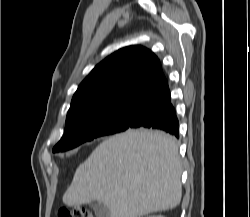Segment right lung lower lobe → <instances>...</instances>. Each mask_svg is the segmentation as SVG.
<instances>
[{"instance_id":"right-lung-lower-lobe-1","label":"right lung lower lobe","mask_w":250,"mask_h":217,"mask_svg":"<svg viewBox=\"0 0 250 217\" xmlns=\"http://www.w3.org/2000/svg\"><path fill=\"white\" fill-rule=\"evenodd\" d=\"M179 122L170 101L168 85L144 97L129 128H149L162 130L179 138Z\"/></svg>"}]
</instances>
